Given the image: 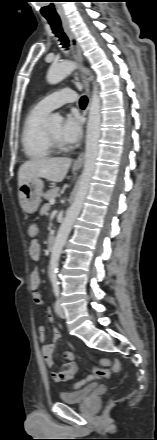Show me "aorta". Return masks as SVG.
Wrapping results in <instances>:
<instances>
[{"label":"aorta","instance_id":"762f6f07","mask_svg":"<svg viewBox=\"0 0 157 440\" xmlns=\"http://www.w3.org/2000/svg\"><path fill=\"white\" fill-rule=\"evenodd\" d=\"M78 66L75 62L65 61L59 64L52 65L47 73V81L50 84H57L61 82L70 72L77 69ZM84 71L90 74L88 69ZM90 80H93V76H90ZM98 87L93 86L89 116L86 131V142H85V160L84 169L80 177L79 187L72 205L66 212L64 221L62 222L55 242L51 251L50 265H49V275L51 281L57 280V271L59 266L60 256L62 254V249L66 243V240L70 234L72 226L79 216L81 209L83 207L84 201L89 191L92 176L96 167V160L98 156V144L101 134V101L98 94ZM62 122V117L58 114H53L50 117L51 125H59Z\"/></svg>","mask_w":157,"mask_h":440}]
</instances>
